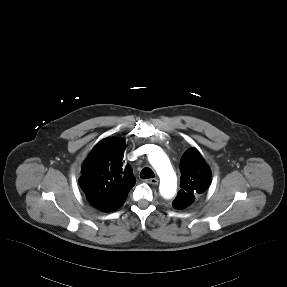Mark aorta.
<instances>
[{"mask_svg":"<svg viewBox=\"0 0 287 287\" xmlns=\"http://www.w3.org/2000/svg\"><path fill=\"white\" fill-rule=\"evenodd\" d=\"M148 159L160 178V194L166 199L172 198L176 193L177 178L168 157L163 151L154 150Z\"/></svg>","mask_w":287,"mask_h":287,"instance_id":"obj_1","label":"aorta"}]
</instances>
